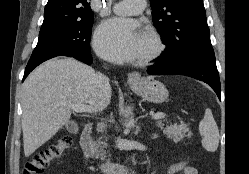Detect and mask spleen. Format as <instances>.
<instances>
[{
    "instance_id": "1",
    "label": "spleen",
    "mask_w": 249,
    "mask_h": 174,
    "mask_svg": "<svg viewBox=\"0 0 249 174\" xmlns=\"http://www.w3.org/2000/svg\"><path fill=\"white\" fill-rule=\"evenodd\" d=\"M199 131L202 135V146L209 152H215L219 145V130L212 111L208 108L199 123Z\"/></svg>"
}]
</instances>
